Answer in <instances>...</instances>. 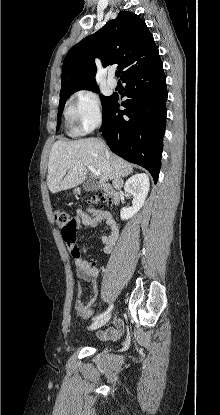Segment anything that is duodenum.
Segmentation results:
<instances>
[{"mask_svg": "<svg viewBox=\"0 0 220 415\" xmlns=\"http://www.w3.org/2000/svg\"><path fill=\"white\" fill-rule=\"evenodd\" d=\"M101 190L107 193L109 196H111L114 199L115 204H118V195H117L116 190L112 186H108V185L102 186Z\"/></svg>", "mask_w": 220, "mask_h": 415, "instance_id": "410a0bca", "label": "duodenum"}]
</instances>
